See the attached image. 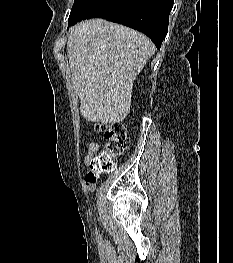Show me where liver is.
I'll use <instances>...</instances> for the list:
<instances>
[{
    "instance_id": "1",
    "label": "liver",
    "mask_w": 233,
    "mask_h": 263,
    "mask_svg": "<svg viewBox=\"0 0 233 263\" xmlns=\"http://www.w3.org/2000/svg\"><path fill=\"white\" fill-rule=\"evenodd\" d=\"M155 46L129 27L90 19L75 25L67 41L72 82L87 121L119 123L130 112L133 81Z\"/></svg>"
}]
</instances>
